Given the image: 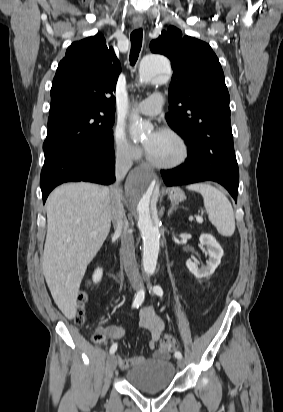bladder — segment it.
Wrapping results in <instances>:
<instances>
[{
    "instance_id": "1",
    "label": "bladder",
    "mask_w": 283,
    "mask_h": 412,
    "mask_svg": "<svg viewBox=\"0 0 283 412\" xmlns=\"http://www.w3.org/2000/svg\"><path fill=\"white\" fill-rule=\"evenodd\" d=\"M176 369L170 360H146L125 373L126 382L142 392H160L174 382Z\"/></svg>"
}]
</instances>
